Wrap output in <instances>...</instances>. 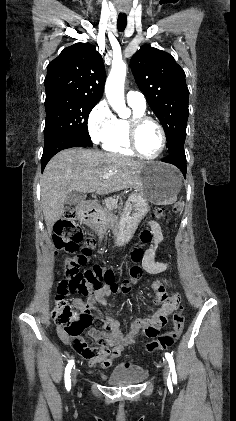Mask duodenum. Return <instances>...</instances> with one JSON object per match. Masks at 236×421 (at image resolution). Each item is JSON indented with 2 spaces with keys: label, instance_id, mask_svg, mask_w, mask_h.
I'll use <instances>...</instances> for the list:
<instances>
[{
  "label": "duodenum",
  "instance_id": "1",
  "mask_svg": "<svg viewBox=\"0 0 236 421\" xmlns=\"http://www.w3.org/2000/svg\"><path fill=\"white\" fill-rule=\"evenodd\" d=\"M96 211H97V204L95 201L91 199H85L81 201L77 207L78 218L82 223L86 225H92L95 223ZM163 300L166 304L164 309H168L169 303L167 302V300H165V298H163ZM146 328H147L146 325H141L139 327H136L135 329H133V335L137 334L139 330L141 329L145 330ZM106 342L108 345H114L117 343H120L121 345H125L129 342V339L122 336L117 327L113 325H109Z\"/></svg>",
  "mask_w": 236,
  "mask_h": 421
}]
</instances>
